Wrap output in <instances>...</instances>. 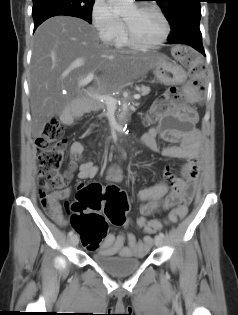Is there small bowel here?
<instances>
[{"label": "small bowel", "mask_w": 238, "mask_h": 315, "mask_svg": "<svg viewBox=\"0 0 238 315\" xmlns=\"http://www.w3.org/2000/svg\"><path fill=\"white\" fill-rule=\"evenodd\" d=\"M159 132L160 131L157 128H152L147 131L141 138L142 144L152 151L164 156L184 159L186 162L182 167L183 177H176L171 172L170 168H167L165 171V181H161L158 184L139 190V199L146 201V203L140 207L141 216L136 219V225L139 228H144L148 222L146 217L155 212L168 210L175 204H181L186 208V205L190 202L194 194L196 180L199 175V132L195 129L183 131L175 137V140H179V145H169L164 148H160L156 141ZM83 150L84 147L81 142L75 141L72 143L70 147L71 163L81 155ZM97 173L98 167L94 165L93 162L86 161L79 167L78 178L80 180L92 179ZM109 176L116 181H119L122 178L119 170L115 167L110 169ZM167 183H170L173 186L171 192L169 191ZM69 195V188L56 191L52 194L54 208L50 214L52 219L60 225H64L66 220L61 215L59 201L67 199ZM169 217L170 214L168 218ZM128 223L129 222L127 221L125 225L127 226ZM159 223L162 226L161 221H159ZM124 242H126L127 245H124ZM152 244L153 238L150 235H146L143 240H140L133 233L121 234L117 237L113 234H106L98 245V250L100 254L107 256L116 254L122 257L143 256L151 248Z\"/></svg>", "instance_id": "1"}]
</instances>
